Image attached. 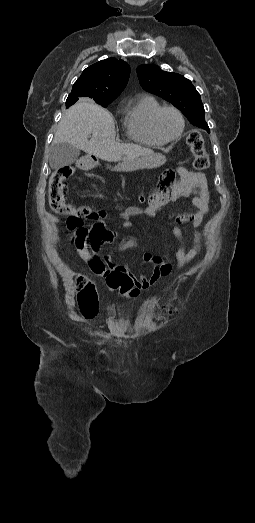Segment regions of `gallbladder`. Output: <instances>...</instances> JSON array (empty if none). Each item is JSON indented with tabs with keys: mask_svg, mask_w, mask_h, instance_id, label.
I'll return each mask as SVG.
<instances>
[{
	"mask_svg": "<svg viewBox=\"0 0 255 523\" xmlns=\"http://www.w3.org/2000/svg\"><path fill=\"white\" fill-rule=\"evenodd\" d=\"M78 156H80V150L74 148L68 142H59V144H53L49 152V164L52 170H59L64 166H70L73 162H76Z\"/></svg>",
	"mask_w": 255,
	"mask_h": 523,
	"instance_id": "gallbladder-1",
	"label": "gallbladder"
}]
</instances>
